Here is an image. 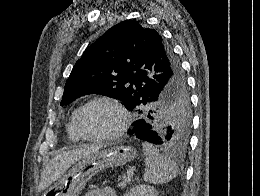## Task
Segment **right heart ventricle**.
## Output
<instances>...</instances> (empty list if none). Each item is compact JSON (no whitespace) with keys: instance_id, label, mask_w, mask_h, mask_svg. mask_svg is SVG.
<instances>
[{"instance_id":"obj_1","label":"right heart ventricle","mask_w":260,"mask_h":196,"mask_svg":"<svg viewBox=\"0 0 260 196\" xmlns=\"http://www.w3.org/2000/svg\"><path fill=\"white\" fill-rule=\"evenodd\" d=\"M76 111L77 110L72 112L69 124L67 126L68 137H69L70 141H72L74 143L80 142L82 140V138L74 124V118H75Z\"/></svg>"}]
</instances>
